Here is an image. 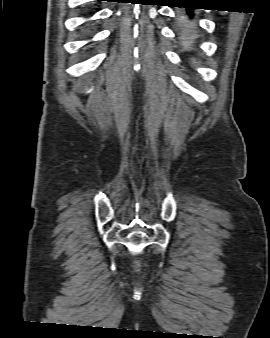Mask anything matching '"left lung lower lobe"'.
<instances>
[{"label":"left lung lower lobe","mask_w":270,"mask_h":338,"mask_svg":"<svg viewBox=\"0 0 270 338\" xmlns=\"http://www.w3.org/2000/svg\"><path fill=\"white\" fill-rule=\"evenodd\" d=\"M185 11H182L178 17L179 36L182 40H189L193 38L197 32L194 26L192 17L194 16L193 9L191 7H184Z\"/></svg>","instance_id":"obj_1"}]
</instances>
